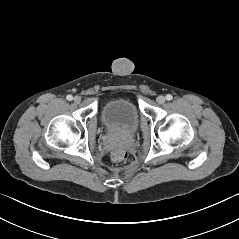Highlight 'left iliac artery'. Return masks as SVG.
I'll list each match as a JSON object with an SVG mask.
<instances>
[{"label": "left iliac artery", "mask_w": 239, "mask_h": 239, "mask_svg": "<svg viewBox=\"0 0 239 239\" xmlns=\"http://www.w3.org/2000/svg\"><path fill=\"white\" fill-rule=\"evenodd\" d=\"M173 99V96L171 94L166 95V100L171 101Z\"/></svg>", "instance_id": "obj_1"}]
</instances>
